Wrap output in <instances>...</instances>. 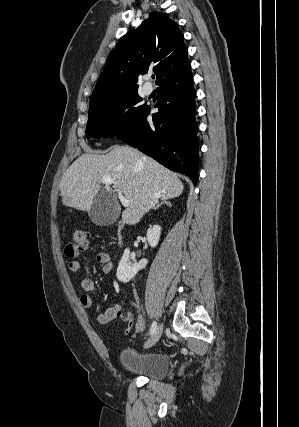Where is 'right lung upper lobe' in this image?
<instances>
[{
    "mask_svg": "<svg viewBox=\"0 0 299 427\" xmlns=\"http://www.w3.org/2000/svg\"><path fill=\"white\" fill-rule=\"evenodd\" d=\"M177 24L162 13L153 12L141 25L129 31L109 57L90 103L138 90V78L153 67L159 85L191 70Z\"/></svg>",
    "mask_w": 299,
    "mask_h": 427,
    "instance_id": "cb5924a9",
    "label": "right lung upper lobe"
}]
</instances>
